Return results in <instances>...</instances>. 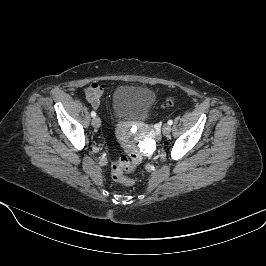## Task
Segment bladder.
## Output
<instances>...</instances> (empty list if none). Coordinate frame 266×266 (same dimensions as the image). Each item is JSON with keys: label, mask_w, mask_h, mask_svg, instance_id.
<instances>
[{"label": "bladder", "mask_w": 266, "mask_h": 266, "mask_svg": "<svg viewBox=\"0 0 266 266\" xmlns=\"http://www.w3.org/2000/svg\"><path fill=\"white\" fill-rule=\"evenodd\" d=\"M154 101L155 94L150 89L122 85L112 94V109L118 120H143L149 116Z\"/></svg>", "instance_id": "obj_1"}]
</instances>
